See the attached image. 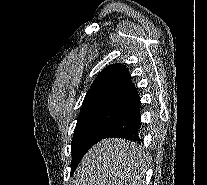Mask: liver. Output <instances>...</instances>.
I'll return each instance as SVG.
<instances>
[{
    "mask_svg": "<svg viewBox=\"0 0 207 185\" xmlns=\"http://www.w3.org/2000/svg\"><path fill=\"white\" fill-rule=\"evenodd\" d=\"M137 143L103 139L89 149L76 169L75 185H143L145 159Z\"/></svg>",
    "mask_w": 207,
    "mask_h": 185,
    "instance_id": "6515ba94",
    "label": "liver"
}]
</instances>
